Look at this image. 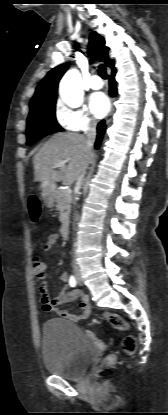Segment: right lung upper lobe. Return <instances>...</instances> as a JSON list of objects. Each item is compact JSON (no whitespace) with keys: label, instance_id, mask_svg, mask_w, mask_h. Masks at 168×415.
Instances as JSON below:
<instances>
[{"label":"right lung upper lobe","instance_id":"right-lung-upper-lobe-1","mask_svg":"<svg viewBox=\"0 0 168 415\" xmlns=\"http://www.w3.org/2000/svg\"><path fill=\"white\" fill-rule=\"evenodd\" d=\"M108 47L105 40L95 31L90 34L89 55L102 60L106 66L115 70L114 61L108 57ZM69 67V63H63L53 68L38 84L35 94L30 102V111L44 105L56 102L58 82Z\"/></svg>","mask_w":168,"mask_h":415}]
</instances>
